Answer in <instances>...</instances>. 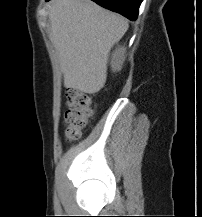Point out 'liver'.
I'll use <instances>...</instances> for the list:
<instances>
[{"mask_svg": "<svg viewBox=\"0 0 202 217\" xmlns=\"http://www.w3.org/2000/svg\"><path fill=\"white\" fill-rule=\"evenodd\" d=\"M49 22L64 86L99 92L106 82L110 50L128 30V21L91 0H52Z\"/></svg>", "mask_w": 202, "mask_h": 217, "instance_id": "obj_1", "label": "liver"}]
</instances>
